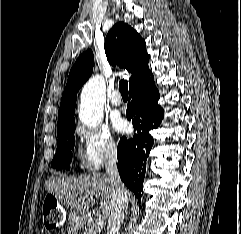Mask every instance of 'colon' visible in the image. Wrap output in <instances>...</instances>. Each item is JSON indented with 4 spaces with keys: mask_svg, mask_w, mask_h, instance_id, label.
<instances>
[{
    "mask_svg": "<svg viewBox=\"0 0 241 234\" xmlns=\"http://www.w3.org/2000/svg\"><path fill=\"white\" fill-rule=\"evenodd\" d=\"M66 218L65 210L57 200L48 196L43 202V223L48 229H56L64 224Z\"/></svg>",
    "mask_w": 241,
    "mask_h": 234,
    "instance_id": "1",
    "label": "colon"
}]
</instances>
